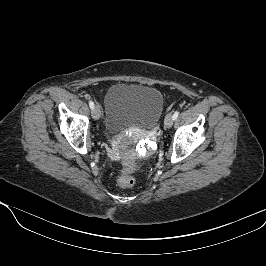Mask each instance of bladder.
Returning <instances> with one entry per match:
<instances>
[{
    "label": "bladder",
    "instance_id": "bladder-1",
    "mask_svg": "<svg viewBox=\"0 0 266 266\" xmlns=\"http://www.w3.org/2000/svg\"><path fill=\"white\" fill-rule=\"evenodd\" d=\"M104 104L105 127L116 135L130 127L154 128L162 115L164 101L155 88L116 83L107 90Z\"/></svg>",
    "mask_w": 266,
    "mask_h": 266
}]
</instances>
